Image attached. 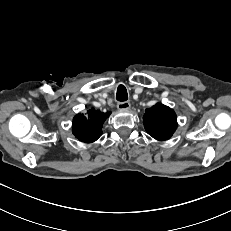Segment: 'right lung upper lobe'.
I'll return each instance as SVG.
<instances>
[{"mask_svg": "<svg viewBox=\"0 0 231 231\" xmlns=\"http://www.w3.org/2000/svg\"><path fill=\"white\" fill-rule=\"evenodd\" d=\"M111 113H101L95 109L87 111L86 115L77 114L73 118V134L80 141L91 143L102 135V125Z\"/></svg>", "mask_w": 231, "mask_h": 231, "instance_id": "cb5924a9", "label": "right lung upper lobe"}]
</instances>
